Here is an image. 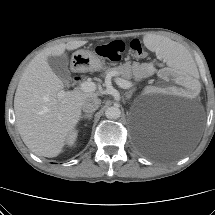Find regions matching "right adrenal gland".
Returning <instances> with one entry per match:
<instances>
[{
  "mask_svg": "<svg viewBox=\"0 0 215 215\" xmlns=\"http://www.w3.org/2000/svg\"><path fill=\"white\" fill-rule=\"evenodd\" d=\"M92 113H90V114H84V115H82L81 117H80V119L82 120V119H89V120H91V118H92Z\"/></svg>",
  "mask_w": 215,
  "mask_h": 215,
  "instance_id": "obj_1",
  "label": "right adrenal gland"
}]
</instances>
